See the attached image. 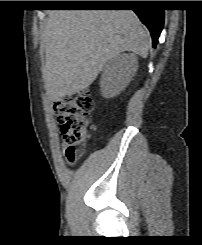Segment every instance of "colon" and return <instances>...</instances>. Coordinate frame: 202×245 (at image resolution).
Returning a JSON list of instances; mask_svg holds the SVG:
<instances>
[{
  "label": "colon",
  "mask_w": 202,
  "mask_h": 245,
  "mask_svg": "<svg viewBox=\"0 0 202 245\" xmlns=\"http://www.w3.org/2000/svg\"><path fill=\"white\" fill-rule=\"evenodd\" d=\"M93 107L92 96L87 91L63 97L55 105V114L66 143L65 157L70 163L82 156L90 138Z\"/></svg>",
  "instance_id": "1"
}]
</instances>
